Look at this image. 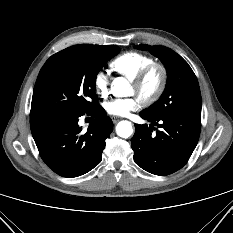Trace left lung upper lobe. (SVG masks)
<instances>
[{
    "instance_id": "obj_1",
    "label": "left lung upper lobe",
    "mask_w": 233,
    "mask_h": 233,
    "mask_svg": "<svg viewBox=\"0 0 233 233\" xmlns=\"http://www.w3.org/2000/svg\"><path fill=\"white\" fill-rule=\"evenodd\" d=\"M137 49H149L164 64L167 84L160 99L141 111L152 119L179 112L201 114V93L198 80L188 63L176 52L164 46L141 44Z\"/></svg>"
}]
</instances>
